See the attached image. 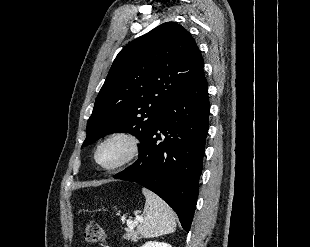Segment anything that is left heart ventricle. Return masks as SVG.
Listing matches in <instances>:
<instances>
[{
    "instance_id": "1",
    "label": "left heart ventricle",
    "mask_w": 310,
    "mask_h": 247,
    "mask_svg": "<svg viewBox=\"0 0 310 247\" xmlns=\"http://www.w3.org/2000/svg\"><path fill=\"white\" fill-rule=\"evenodd\" d=\"M127 152V146L123 141H111L106 143L99 151L98 159L103 165H113L120 161Z\"/></svg>"
}]
</instances>
